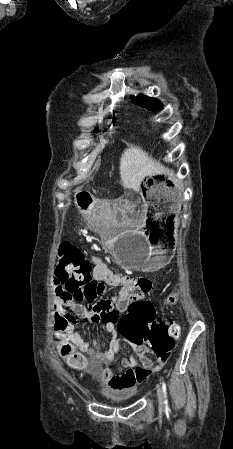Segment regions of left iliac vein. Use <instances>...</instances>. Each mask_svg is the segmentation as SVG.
<instances>
[{
    "mask_svg": "<svg viewBox=\"0 0 233 449\" xmlns=\"http://www.w3.org/2000/svg\"><path fill=\"white\" fill-rule=\"evenodd\" d=\"M157 398H158V405L160 409L164 408L165 401L163 396V390L160 386L157 387Z\"/></svg>",
    "mask_w": 233,
    "mask_h": 449,
    "instance_id": "1",
    "label": "left iliac vein"
}]
</instances>
